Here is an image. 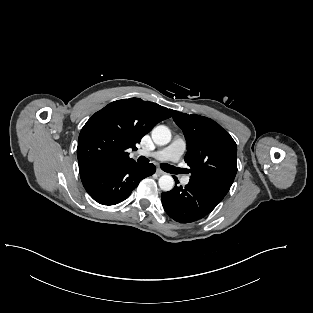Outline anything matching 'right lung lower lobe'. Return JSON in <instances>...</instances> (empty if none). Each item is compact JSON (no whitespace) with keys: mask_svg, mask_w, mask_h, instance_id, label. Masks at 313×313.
I'll list each match as a JSON object with an SVG mask.
<instances>
[{"mask_svg":"<svg viewBox=\"0 0 313 313\" xmlns=\"http://www.w3.org/2000/svg\"><path fill=\"white\" fill-rule=\"evenodd\" d=\"M153 164H130L101 168L80 174L88 194L102 205H115L127 199L139 182L154 174Z\"/></svg>","mask_w":313,"mask_h":313,"instance_id":"1","label":"right lung lower lobe"}]
</instances>
